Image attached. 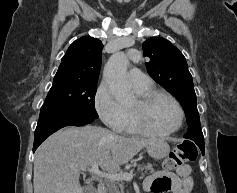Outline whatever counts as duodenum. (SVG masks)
<instances>
[{"mask_svg":"<svg viewBox=\"0 0 237 193\" xmlns=\"http://www.w3.org/2000/svg\"><path fill=\"white\" fill-rule=\"evenodd\" d=\"M97 193H105V187L103 184H98L97 186Z\"/></svg>","mask_w":237,"mask_h":193,"instance_id":"1","label":"duodenum"}]
</instances>
